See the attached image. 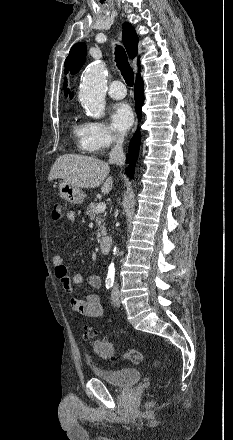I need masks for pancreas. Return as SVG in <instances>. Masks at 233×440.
<instances>
[{
  "instance_id": "pancreas-1",
  "label": "pancreas",
  "mask_w": 233,
  "mask_h": 440,
  "mask_svg": "<svg viewBox=\"0 0 233 440\" xmlns=\"http://www.w3.org/2000/svg\"><path fill=\"white\" fill-rule=\"evenodd\" d=\"M100 213L101 212H97L96 203H90L89 206L87 207L86 215H88L91 220H95V222L98 224V230H97L98 241H100V238L102 236L106 235L105 223H103Z\"/></svg>"
}]
</instances>
